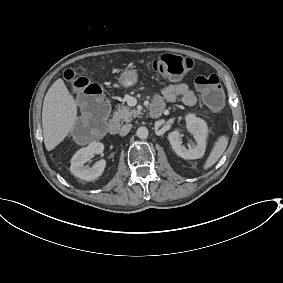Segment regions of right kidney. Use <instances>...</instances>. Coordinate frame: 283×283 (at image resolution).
<instances>
[{"mask_svg":"<svg viewBox=\"0 0 283 283\" xmlns=\"http://www.w3.org/2000/svg\"><path fill=\"white\" fill-rule=\"evenodd\" d=\"M103 150L104 145L100 142H92L87 147L78 150L71 159V173L74 176L85 181H92L97 177L101 176L106 166L105 160H100L96 162L91 168L84 166V164L94 154H101Z\"/></svg>","mask_w":283,"mask_h":283,"instance_id":"1","label":"right kidney"}]
</instances>
